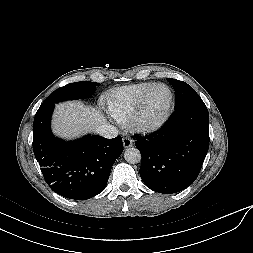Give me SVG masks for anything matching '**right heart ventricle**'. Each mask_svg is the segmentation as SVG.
<instances>
[{
	"label": "right heart ventricle",
	"mask_w": 253,
	"mask_h": 253,
	"mask_svg": "<svg viewBox=\"0 0 253 253\" xmlns=\"http://www.w3.org/2000/svg\"><path fill=\"white\" fill-rule=\"evenodd\" d=\"M153 85L152 82H144L122 86L111 91L106 98L107 108L111 116L119 123H129L142 96Z\"/></svg>",
	"instance_id": "e07e8e85"
}]
</instances>
